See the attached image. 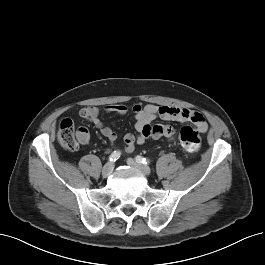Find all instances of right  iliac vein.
<instances>
[{
  "label": "right iliac vein",
  "instance_id": "63e3f726",
  "mask_svg": "<svg viewBox=\"0 0 265 265\" xmlns=\"http://www.w3.org/2000/svg\"><path fill=\"white\" fill-rule=\"evenodd\" d=\"M114 164L112 162L106 163L102 168V177L107 178L113 171Z\"/></svg>",
  "mask_w": 265,
  "mask_h": 265
}]
</instances>
